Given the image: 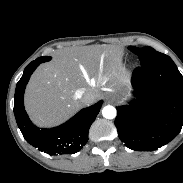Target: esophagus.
Wrapping results in <instances>:
<instances>
[{
  "instance_id": "34e87169",
  "label": "esophagus",
  "mask_w": 183,
  "mask_h": 183,
  "mask_svg": "<svg viewBox=\"0 0 183 183\" xmlns=\"http://www.w3.org/2000/svg\"><path fill=\"white\" fill-rule=\"evenodd\" d=\"M107 100H111L112 99V97L111 96H107V98H106Z\"/></svg>"
}]
</instances>
